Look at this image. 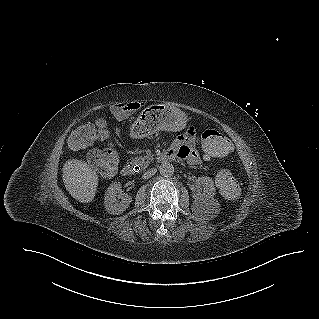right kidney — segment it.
<instances>
[{
    "mask_svg": "<svg viewBox=\"0 0 319 319\" xmlns=\"http://www.w3.org/2000/svg\"><path fill=\"white\" fill-rule=\"evenodd\" d=\"M132 202V197L122 192L119 182L112 183L105 194V208L108 213L119 215L123 213Z\"/></svg>",
    "mask_w": 319,
    "mask_h": 319,
    "instance_id": "obj_1",
    "label": "right kidney"
}]
</instances>
